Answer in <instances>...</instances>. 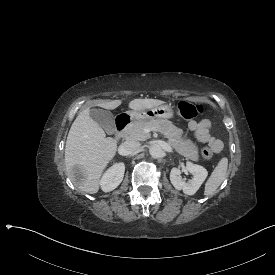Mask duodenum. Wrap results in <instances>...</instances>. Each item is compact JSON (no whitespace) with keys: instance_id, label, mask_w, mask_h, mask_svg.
Wrapping results in <instances>:
<instances>
[{"instance_id":"1","label":"duodenum","mask_w":275,"mask_h":275,"mask_svg":"<svg viewBox=\"0 0 275 275\" xmlns=\"http://www.w3.org/2000/svg\"><path fill=\"white\" fill-rule=\"evenodd\" d=\"M132 117L129 114H121L116 118L115 121V136L120 138L127 127L130 125Z\"/></svg>"}]
</instances>
